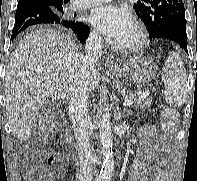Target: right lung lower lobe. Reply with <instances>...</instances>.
I'll return each instance as SVG.
<instances>
[{"label":"right lung lower lobe","mask_w":197,"mask_h":181,"mask_svg":"<svg viewBox=\"0 0 197 181\" xmlns=\"http://www.w3.org/2000/svg\"><path fill=\"white\" fill-rule=\"evenodd\" d=\"M39 24L69 28L78 36L80 42H84L89 36V27L83 22L63 19L44 3L32 0H19L12 39L27 27Z\"/></svg>","instance_id":"obj_1"}]
</instances>
